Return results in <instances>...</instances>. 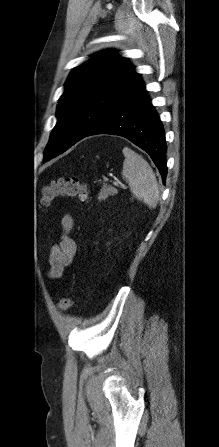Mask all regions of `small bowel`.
Returning <instances> with one entry per match:
<instances>
[{"instance_id":"small-bowel-1","label":"small bowel","mask_w":219,"mask_h":447,"mask_svg":"<svg viewBox=\"0 0 219 447\" xmlns=\"http://www.w3.org/2000/svg\"><path fill=\"white\" fill-rule=\"evenodd\" d=\"M63 234L58 245L54 246L49 255L50 272L49 276L52 279H59L62 277L64 269L68 266L77 250L76 242L69 235L74 227V220L71 215H64L61 220Z\"/></svg>"}]
</instances>
